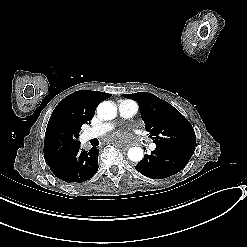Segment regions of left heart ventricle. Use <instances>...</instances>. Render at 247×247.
Returning <instances> with one entry per match:
<instances>
[{"instance_id":"b2bd125f","label":"left heart ventricle","mask_w":247,"mask_h":247,"mask_svg":"<svg viewBox=\"0 0 247 247\" xmlns=\"http://www.w3.org/2000/svg\"><path fill=\"white\" fill-rule=\"evenodd\" d=\"M119 127L125 130H135V125L130 120H122L119 122Z\"/></svg>"}]
</instances>
